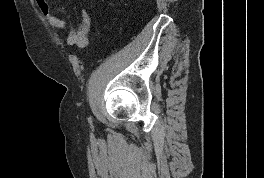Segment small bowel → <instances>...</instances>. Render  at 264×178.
Here are the masks:
<instances>
[{
    "instance_id": "small-bowel-1",
    "label": "small bowel",
    "mask_w": 264,
    "mask_h": 178,
    "mask_svg": "<svg viewBox=\"0 0 264 178\" xmlns=\"http://www.w3.org/2000/svg\"><path fill=\"white\" fill-rule=\"evenodd\" d=\"M35 1L39 10L45 16V18L52 27L62 30L67 28L66 22L54 14L52 7L47 0H35Z\"/></svg>"
}]
</instances>
